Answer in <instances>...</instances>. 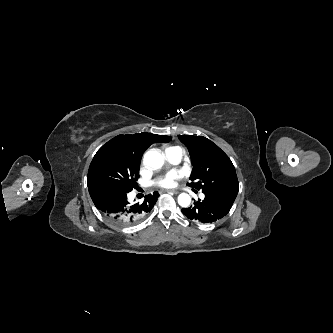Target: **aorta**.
<instances>
[{
    "mask_svg": "<svg viewBox=\"0 0 333 333\" xmlns=\"http://www.w3.org/2000/svg\"><path fill=\"white\" fill-rule=\"evenodd\" d=\"M144 164L152 169L161 168L164 164L163 156L156 150H149L145 153L143 158ZM191 198L188 194L182 193L178 196V203L181 207H188Z\"/></svg>",
    "mask_w": 333,
    "mask_h": 333,
    "instance_id": "obj_1",
    "label": "aorta"
}]
</instances>
